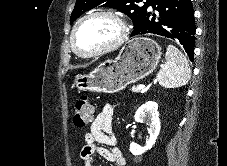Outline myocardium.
Listing matches in <instances>:
<instances>
[{"instance_id":"myocardium-1","label":"myocardium","mask_w":227,"mask_h":166,"mask_svg":"<svg viewBox=\"0 0 227 166\" xmlns=\"http://www.w3.org/2000/svg\"><path fill=\"white\" fill-rule=\"evenodd\" d=\"M97 16H103V17H107V18H110L111 20H113L119 27V36L113 43H111L101 49H98V50H95L92 52H82L77 48V46L75 44L76 31L83 22H85L86 20H88L90 18L97 17ZM127 36H128L127 26H126L125 22L123 21V19L117 13L111 12V11H93V12L87 13L86 15L82 16L80 19H78L76 21V23L74 24V26L71 30L70 44H71V48L74 51V53H76L77 55L82 56V57L90 58V57L102 56V55H105L109 52L116 50L126 41Z\"/></svg>"}]
</instances>
